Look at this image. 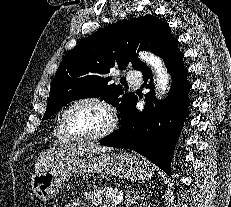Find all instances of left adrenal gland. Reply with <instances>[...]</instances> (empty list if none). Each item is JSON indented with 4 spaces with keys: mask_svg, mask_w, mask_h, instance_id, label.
<instances>
[{
    "mask_svg": "<svg viewBox=\"0 0 231 207\" xmlns=\"http://www.w3.org/2000/svg\"><path fill=\"white\" fill-rule=\"evenodd\" d=\"M132 191H129L127 190L126 193H125V206L126 207H129L131 206L132 204H134L136 202V200H138L140 198V196L137 194H135L134 196H132ZM145 193V192H144ZM145 194H143L144 196Z\"/></svg>",
    "mask_w": 231,
    "mask_h": 207,
    "instance_id": "obj_1",
    "label": "left adrenal gland"
}]
</instances>
